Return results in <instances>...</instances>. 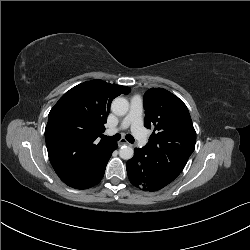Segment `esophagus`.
<instances>
[{"label": "esophagus", "mask_w": 250, "mask_h": 250, "mask_svg": "<svg viewBox=\"0 0 250 250\" xmlns=\"http://www.w3.org/2000/svg\"><path fill=\"white\" fill-rule=\"evenodd\" d=\"M123 145H130L129 142L122 138L119 142H118V146H123Z\"/></svg>", "instance_id": "1"}]
</instances>
